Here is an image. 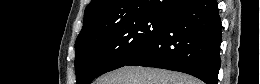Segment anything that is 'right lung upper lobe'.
Returning a JSON list of instances; mask_svg holds the SVG:
<instances>
[{"label": "right lung upper lobe", "mask_w": 260, "mask_h": 84, "mask_svg": "<svg viewBox=\"0 0 260 84\" xmlns=\"http://www.w3.org/2000/svg\"><path fill=\"white\" fill-rule=\"evenodd\" d=\"M192 0H92L86 7L84 23L76 44L90 40L107 24L144 14L169 15Z\"/></svg>", "instance_id": "cb5924a9"}]
</instances>
